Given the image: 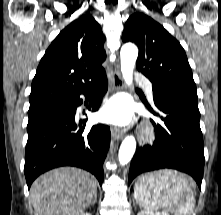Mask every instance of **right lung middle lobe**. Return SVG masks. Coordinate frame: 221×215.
I'll return each instance as SVG.
<instances>
[{"label":"right lung middle lobe","mask_w":221,"mask_h":215,"mask_svg":"<svg viewBox=\"0 0 221 215\" xmlns=\"http://www.w3.org/2000/svg\"><path fill=\"white\" fill-rule=\"evenodd\" d=\"M38 110H39V109H38ZM35 111H37V110H29L28 114H31V113H33V112H35Z\"/></svg>","instance_id":"right-lung-middle-lobe-1"}]
</instances>
